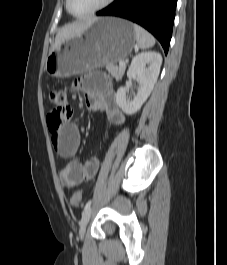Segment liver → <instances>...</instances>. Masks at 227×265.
<instances>
[{
	"instance_id": "liver-1",
	"label": "liver",
	"mask_w": 227,
	"mask_h": 265,
	"mask_svg": "<svg viewBox=\"0 0 227 265\" xmlns=\"http://www.w3.org/2000/svg\"><path fill=\"white\" fill-rule=\"evenodd\" d=\"M91 24V21H79L72 24H67L59 29L56 38L54 48L58 47L61 43L67 39L73 38L82 34Z\"/></svg>"
}]
</instances>
